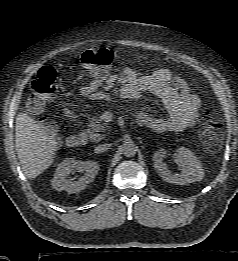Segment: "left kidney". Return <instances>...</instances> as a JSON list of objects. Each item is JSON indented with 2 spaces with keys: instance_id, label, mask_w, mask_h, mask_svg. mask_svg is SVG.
I'll return each mask as SVG.
<instances>
[{
  "instance_id": "5707ae66",
  "label": "left kidney",
  "mask_w": 238,
  "mask_h": 261,
  "mask_svg": "<svg viewBox=\"0 0 238 261\" xmlns=\"http://www.w3.org/2000/svg\"><path fill=\"white\" fill-rule=\"evenodd\" d=\"M165 156L166 152L162 149L156 151L153 156L154 167L164 181L176 185H185L203 179V167L191 150L185 147H180L176 150V156L182 166L181 174H172L168 170L166 164L163 162Z\"/></svg>"
}]
</instances>
